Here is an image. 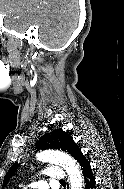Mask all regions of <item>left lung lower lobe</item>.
Wrapping results in <instances>:
<instances>
[{
  "mask_svg": "<svg viewBox=\"0 0 124 189\" xmlns=\"http://www.w3.org/2000/svg\"><path fill=\"white\" fill-rule=\"evenodd\" d=\"M78 165L83 174L84 188L85 189H96L95 176L93 175L90 162L83 155V153L77 159Z\"/></svg>",
  "mask_w": 124,
  "mask_h": 189,
  "instance_id": "0a47b994",
  "label": "left lung lower lobe"
}]
</instances>
